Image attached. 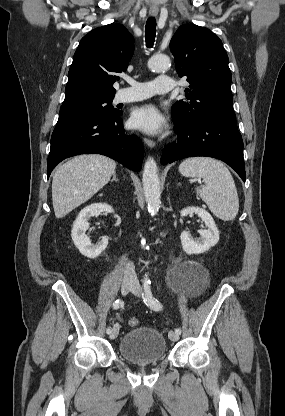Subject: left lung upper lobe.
Masks as SVG:
<instances>
[{
  "instance_id": "left-lung-upper-lobe-1",
  "label": "left lung upper lobe",
  "mask_w": 285,
  "mask_h": 416,
  "mask_svg": "<svg viewBox=\"0 0 285 416\" xmlns=\"http://www.w3.org/2000/svg\"><path fill=\"white\" fill-rule=\"evenodd\" d=\"M177 73L190 83L186 98L172 107L179 127L199 119L234 116L231 72L221 40L209 29L194 24L181 25L170 42Z\"/></svg>"
}]
</instances>
